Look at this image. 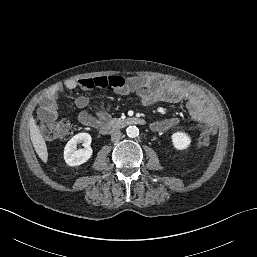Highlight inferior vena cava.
I'll return each mask as SVG.
<instances>
[{
    "label": "inferior vena cava",
    "instance_id": "inferior-vena-cava-1",
    "mask_svg": "<svg viewBox=\"0 0 257 257\" xmlns=\"http://www.w3.org/2000/svg\"><path fill=\"white\" fill-rule=\"evenodd\" d=\"M121 132L119 131V130H116V131H113L112 133H111V141L112 142H117V141H119L120 140V138H121Z\"/></svg>",
    "mask_w": 257,
    "mask_h": 257
}]
</instances>
